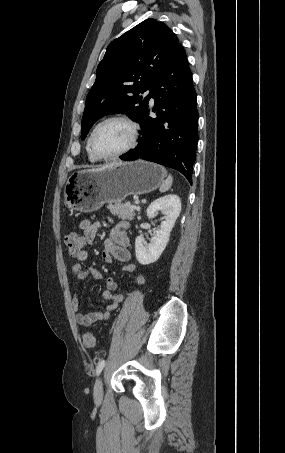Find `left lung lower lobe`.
<instances>
[{
    "instance_id": "1",
    "label": "left lung lower lobe",
    "mask_w": 285,
    "mask_h": 453,
    "mask_svg": "<svg viewBox=\"0 0 285 453\" xmlns=\"http://www.w3.org/2000/svg\"><path fill=\"white\" fill-rule=\"evenodd\" d=\"M151 97L153 112L146 109L139 124L142 131L137 147L120 158L152 161L181 172L192 184V168L198 143V112L186 53L181 44L173 51L156 79Z\"/></svg>"
}]
</instances>
